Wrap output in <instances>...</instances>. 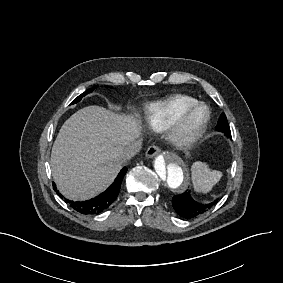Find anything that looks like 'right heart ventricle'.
<instances>
[{
  "label": "right heart ventricle",
  "mask_w": 283,
  "mask_h": 283,
  "mask_svg": "<svg viewBox=\"0 0 283 283\" xmlns=\"http://www.w3.org/2000/svg\"><path fill=\"white\" fill-rule=\"evenodd\" d=\"M167 101H176L181 106H188L192 103L199 102L197 98L189 95H176ZM165 102L152 103L145 106L141 110L142 119L147 125V127L157 133H161L163 120V105Z\"/></svg>",
  "instance_id": "e07e8e85"
}]
</instances>
